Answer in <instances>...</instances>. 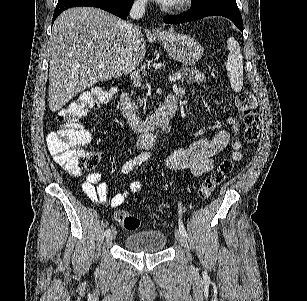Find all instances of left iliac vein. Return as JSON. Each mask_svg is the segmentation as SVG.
<instances>
[{"instance_id":"1","label":"left iliac vein","mask_w":307,"mask_h":301,"mask_svg":"<svg viewBox=\"0 0 307 301\" xmlns=\"http://www.w3.org/2000/svg\"><path fill=\"white\" fill-rule=\"evenodd\" d=\"M175 237H176V240L179 243V245H181L182 247H184L187 250V254L190 257V252H189V249H188V243H187L185 237L183 236V234L181 233L180 230L177 229L175 231Z\"/></svg>"}]
</instances>
